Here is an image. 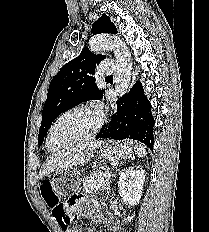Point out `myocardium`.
<instances>
[{
    "instance_id": "myocardium-1",
    "label": "myocardium",
    "mask_w": 209,
    "mask_h": 232,
    "mask_svg": "<svg viewBox=\"0 0 209 232\" xmlns=\"http://www.w3.org/2000/svg\"><path fill=\"white\" fill-rule=\"evenodd\" d=\"M77 111H82V112H87L90 113L92 115H94L96 117V122L93 125V127L91 129H89L88 131H86L85 133H82L78 136L69 138L68 140H66L60 147L56 148V149H52L50 147V139L53 133L54 128L58 125V123L68 114L73 113V112H77ZM103 124V116L97 112L95 109L90 108L88 106L85 105H77V106H73L65 111H63L51 124V126L49 127L48 133H47V137L45 140L46 143V147L49 151H57L67 145H69L70 143H74V142H78L87 138H90L92 136H94L95 134H97L99 132V130L101 129Z\"/></svg>"
}]
</instances>
